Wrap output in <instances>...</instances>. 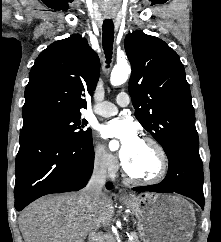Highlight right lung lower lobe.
Wrapping results in <instances>:
<instances>
[{
	"label": "right lung lower lobe",
	"instance_id": "98d812e1",
	"mask_svg": "<svg viewBox=\"0 0 221 242\" xmlns=\"http://www.w3.org/2000/svg\"><path fill=\"white\" fill-rule=\"evenodd\" d=\"M93 165L92 136L74 141L49 132L21 133L16 157L15 208L20 211L46 194L82 189L91 177Z\"/></svg>",
	"mask_w": 221,
	"mask_h": 242
}]
</instances>
